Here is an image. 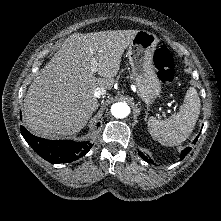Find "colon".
Returning <instances> with one entry per match:
<instances>
[{"mask_svg": "<svg viewBox=\"0 0 221 221\" xmlns=\"http://www.w3.org/2000/svg\"><path fill=\"white\" fill-rule=\"evenodd\" d=\"M153 63L157 69V76L164 84H170L175 77L173 57L164 43H159L155 50Z\"/></svg>", "mask_w": 221, "mask_h": 221, "instance_id": "obj_1", "label": "colon"}]
</instances>
